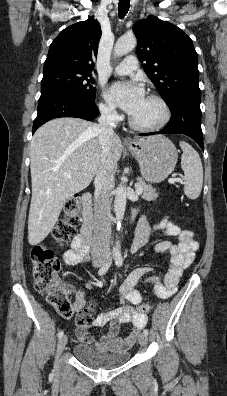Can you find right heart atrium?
<instances>
[{"label":"right heart atrium","instance_id":"d8ad5b80","mask_svg":"<svg viewBox=\"0 0 227 396\" xmlns=\"http://www.w3.org/2000/svg\"><path fill=\"white\" fill-rule=\"evenodd\" d=\"M99 111L104 118L110 121H117L120 118V115L115 109V107L110 104L100 103Z\"/></svg>","mask_w":227,"mask_h":396}]
</instances>
